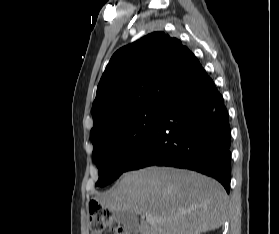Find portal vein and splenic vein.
<instances>
[{"mask_svg":"<svg viewBox=\"0 0 279 234\" xmlns=\"http://www.w3.org/2000/svg\"><path fill=\"white\" fill-rule=\"evenodd\" d=\"M146 220H147L149 223H154V222H155V219L152 217V215H146Z\"/></svg>","mask_w":279,"mask_h":234,"instance_id":"18ae733b","label":"portal vein and splenic vein"}]
</instances>
